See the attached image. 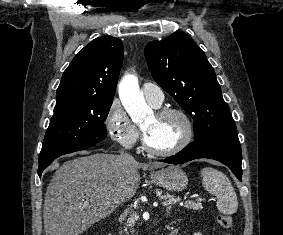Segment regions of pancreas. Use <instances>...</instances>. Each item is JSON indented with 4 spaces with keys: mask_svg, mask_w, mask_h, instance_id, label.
I'll return each mask as SVG.
<instances>
[{
    "mask_svg": "<svg viewBox=\"0 0 283 235\" xmlns=\"http://www.w3.org/2000/svg\"><path fill=\"white\" fill-rule=\"evenodd\" d=\"M163 199L165 200H171L172 198H174V196H171L169 194H165L162 196ZM184 207H186L187 209H193V210H200L202 208V205L198 202H193V201H190V202H187ZM135 218L136 216L135 215H132L128 221H127V226H132L134 224V221H135ZM125 232H127V228L124 229Z\"/></svg>",
    "mask_w": 283,
    "mask_h": 235,
    "instance_id": "1",
    "label": "pancreas"
}]
</instances>
